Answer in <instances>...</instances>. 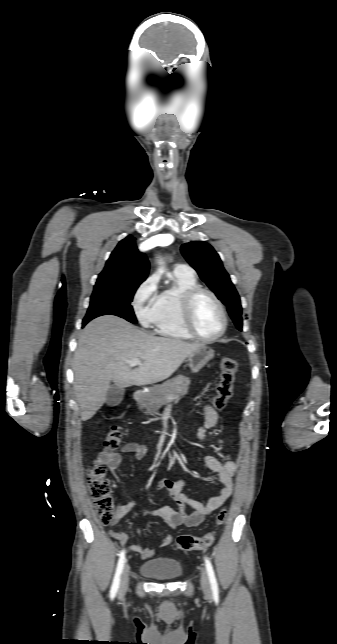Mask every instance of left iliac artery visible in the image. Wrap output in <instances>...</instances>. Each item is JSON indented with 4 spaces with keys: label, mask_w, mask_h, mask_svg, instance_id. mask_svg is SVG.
<instances>
[{
    "label": "left iliac artery",
    "mask_w": 337,
    "mask_h": 644,
    "mask_svg": "<svg viewBox=\"0 0 337 644\" xmlns=\"http://www.w3.org/2000/svg\"><path fill=\"white\" fill-rule=\"evenodd\" d=\"M205 566L208 573L211 589L214 594L218 593V584L213 570V566L208 558H205Z\"/></svg>",
    "instance_id": "44dca946"
}]
</instances>
